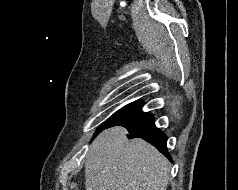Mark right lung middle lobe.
<instances>
[{
    "mask_svg": "<svg viewBox=\"0 0 238 190\" xmlns=\"http://www.w3.org/2000/svg\"><path fill=\"white\" fill-rule=\"evenodd\" d=\"M142 105H143V101L138 100L124 106L122 109L114 113V115L108 121L103 123L96 130L93 137H95L100 131L106 128H109L115 125H120L124 122L130 121L142 116L143 114H145L141 109Z\"/></svg>",
    "mask_w": 238,
    "mask_h": 190,
    "instance_id": "dd1d6c3e",
    "label": "right lung middle lobe"
}]
</instances>
